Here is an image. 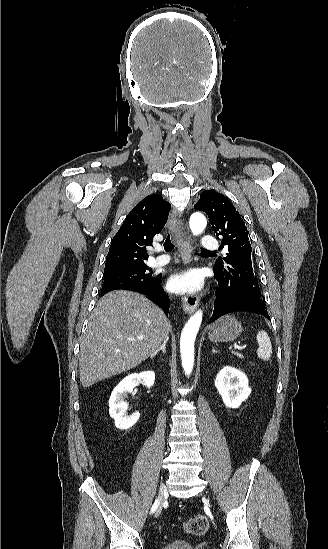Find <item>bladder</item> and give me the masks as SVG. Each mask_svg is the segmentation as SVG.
Here are the masks:
<instances>
[{
    "label": "bladder",
    "instance_id": "1",
    "mask_svg": "<svg viewBox=\"0 0 328 549\" xmlns=\"http://www.w3.org/2000/svg\"><path fill=\"white\" fill-rule=\"evenodd\" d=\"M173 549H182V548L178 546V547H174Z\"/></svg>",
    "mask_w": 328,
    "mask_h": 549
}]
</instances>
